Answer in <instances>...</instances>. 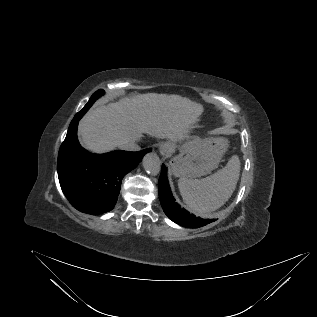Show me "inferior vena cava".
<instances>
[{
	"instance_id": "inferior-vena-cava-1",
	"label": "inferior vena cava",
	"mask_w": 317,
	"mask_h": 317,
	"mask_svg": "<svg viewBox=\"0 0 317 317\" xmlns=\"http://www.w3.org/2000/svg\"><path fill=\"white\" fill-rule=\"evenodd\" d=\"M119 147L122 150H126V151H138V150H140V147L138 146V144L135 141L123 142L119 145Z\"/></svg>"
}]
</instances>
